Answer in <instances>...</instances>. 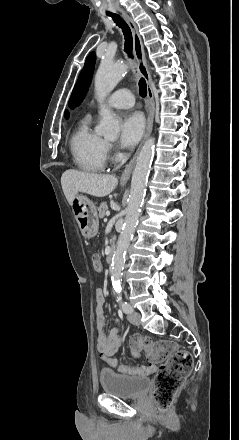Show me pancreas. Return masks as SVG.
<instances>
[{"mask_svg":"<svg viewBox=\"0 0 239 440\" xmlns=\"http://www.w3.org/2000/svg\"><path fill=\"white\" fill-rule=\"evenodd\" d=\"M98 216L99 218H105V214L106 212H108V206H107V202H102V204H100L99 208H98Z\"/></svg>","mask_w":239,"mask_h":440,"instance_id":"obj_1","label":"pancreas"}]
</instances>
